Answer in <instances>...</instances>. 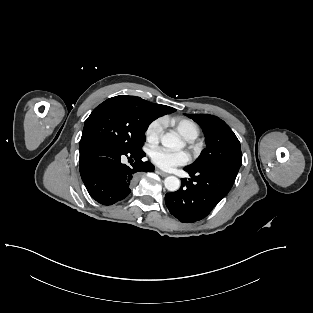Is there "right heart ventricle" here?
Returning <instances> with one entry per match:
<instances>
[{
	"instance_id": "obj_1",
	"label": "right heart ventricle",
	"mask_w": 313,
	"mask_h": 313,
	"mask_svg": "<svg viewBox=\"0 0 313 313\" xmlns=\"http://www.w3.org/2000/svg\"><path fill=\"white\" fill-rule=\"evenodd\" d=\"M166 122L174 127L178 133L187 141L195 140L200 134L199 125L191 119L174 117L167 119Z\"/></svg>"
}]
</instances>
